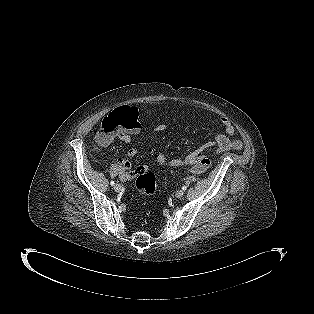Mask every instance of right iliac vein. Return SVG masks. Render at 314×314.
I'll return each mask as SVG.
<instances>
[{
	"mask_svg": "<svg viewBox=\"0 0 314 314\" xmlns=\"http://www.w3.org/2000/svg\"><path fill=\"white\" fill-rule=\"evenodd\" d=\"M114 190H115L116 192H120V191L122 190V186H121L120 184H115V185H114Z\"/></svg>",
	"mask_w": 314,
	"mask_h": 314,
	"instance_id": "63e3f726",
	"label": "right iliac vein"
}]
</instances>
